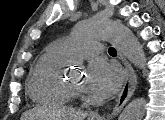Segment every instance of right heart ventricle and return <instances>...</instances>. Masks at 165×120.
I'll return each mask as SVG.
<instances>
[{
  "label": "right heart ventricle",
  "mask_w": 165,
  "mask_h": 120,
  "mask_svg": "<svg viewBox=\"0 0 165 120\" xmlns=\"http://www.w3.org/2000/svg\"><path fill=\"white\" fill-rule=\"evenodd\" d=\"M67 56L53 45L38 59L28 81L30 97L41 104H66L73 95L62 75Z\"/></svg>",
  "instance_id": "1"
}]
</instances>
